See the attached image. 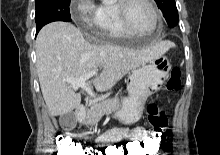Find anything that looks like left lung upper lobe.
I'll list each match as a JSON object with an SVG mask.
<instances>
[{"label":"left lung upper lobe","instance_id":"obj_1","mask_svg":"<svg viewBox=\"0 0 220 155\" xmlns=\"http://www.w3.org/2000/svg\"><path fill=\"white\" fill-rule=\"evenodd\" d=\"M158 7L163 13L167 24L174 27L178 23V11L176 8L175 0H155Z\"/></svg>","mask_w":220,"mask_h":155}]
</instances>
